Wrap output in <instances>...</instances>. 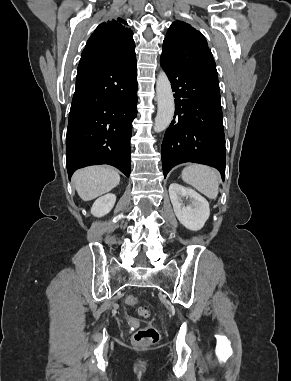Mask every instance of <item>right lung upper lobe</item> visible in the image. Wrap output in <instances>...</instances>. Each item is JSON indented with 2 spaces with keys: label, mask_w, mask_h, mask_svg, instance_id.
<instances>
[{
  "label": "right lung upper lobe",
  "mask_w": 291,
  "mask_h": 381,
  "mask_svg": "<svg viewBox=\"0 0 291 381\" xmlns=\"http://www.w3.org/2000/svg\"><path fill=\"white\" fill-rule=\"evenodd\" d=\"M121 18L101 23L89 38L79 64L123 61L135 54L133 32Z\"/></svg>",
  "instance_id": "1"
}]
</instances>
